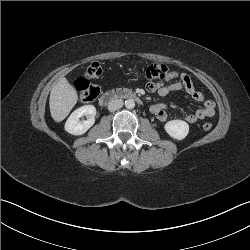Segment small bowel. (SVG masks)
<instances>
[{"instance_id":"small-bowel-1","label":"small bowel","mask_w":250,"mask_h":250,"mask_svg":"<svg viewBox=\"0 0 250 250\" xmlns=\"http://www.w3.org/2000/svg\"><path fill=\"white\" fill-rule=\"evenodd\" d=\"M145 88L150 92L157 93L161 97L167 96L172 92L184 90L192 99L201 102L203 105L202 108L183 117L187 123L194 124L199 120L213 117L215 114V103L212 100L206 99L204 94L196 89L191 78L185 73H166L164 79H160L158 83L148 80L145 83ZM150 110L159 121L164 122L168 119L169 107L166 104H154Z\"/></svg>"}]
</instances>
